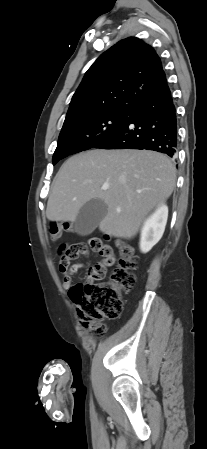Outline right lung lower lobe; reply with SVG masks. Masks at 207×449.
Masks as SVG:
<instances>
[{"instance_id":"obj_1","label":"right lung lower lobe","mask_w":207,"mask_h":449,"mask_svg":"<svg viewBox=\"0 0 207 449\" xmlns=\"http://www.w3.org/2000/svg\"><path fill=\"white\" fill-rule=\"evenodd\" d=\"M177 138L176 107L169 91L136 108L120 129L94 148L146 149L174 157Z\"/></svg>"}]
</instances>
